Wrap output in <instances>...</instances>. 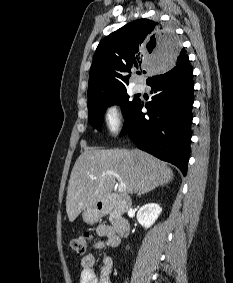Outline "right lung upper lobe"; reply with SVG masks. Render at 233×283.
I'll return each instance as SVG.
<instances>
[{"instance_id": "cb5924a9", "label": "right lung upper lobe", "mask_w": 233, "mask_h": 283, "mask_svg": "<svg viewBox=\"0 0 233 283\" xmlns=\"http://www.w3.org/2000/svg\"><path fill=\"white\" fill-rule=\"evenodd\" d=\"M187 55L173 30L161 23L139 19L126 24L105 37L96 49L89 74L88 107L125 91L131 70H171V65Z\"/></svg>"}]
</instances>
